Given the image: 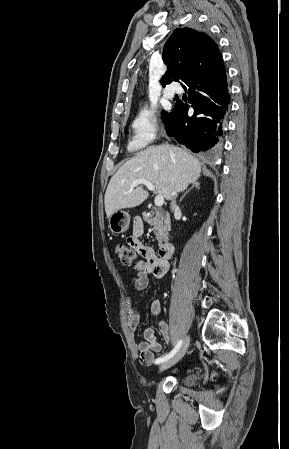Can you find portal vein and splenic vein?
<instances>
[{"mask_svg":"<svg viewBox=\"0 0 289 449\" xmlns=\"http://www.w3.org/2000/svg\"><path fill=\"white\" fill-rule=\"evenodd\" d=\"M140 184H144L150 191H154L155 190L154 184L151 181L146 180V179H136L135 181H133L131 183V190L133 188L137 187ZM154 202H155V205L157 207H161L163 205V203H164L163 195H161V194L156 195L155 199H154Z\"/></svg>","mask_w":289,"mask_h":449,"instance_id":"obj_1","label":"portal vein and splenic vein"}]
</instances>
